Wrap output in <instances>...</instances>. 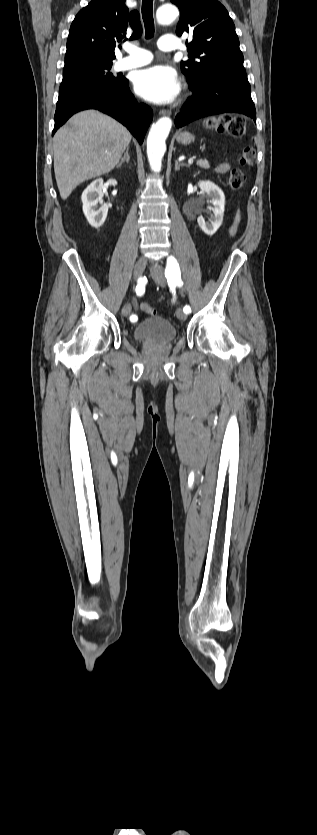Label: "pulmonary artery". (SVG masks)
<instances>
[{"label": "pulmonary artery", "mask_w": 317, "mask_h": 835, "mask_svg": "<svg viewBox=\"0 0 317 835\" xmlns=\"http://www.w3.org/2000/svg\"><path fill=\"white\" fill-rule=\"evenodd\" d=\"M158 47L160 50L166 52L179 49L177 39L173 35L162 36L158 41ZM124 49L128 55L116 62L115 67L117 70L138 68L150 63L153 58L148 50L136 45L129 44Z\"/></svg>", "instance_id": "obj_1"}]
</instances>
